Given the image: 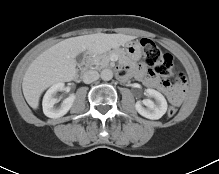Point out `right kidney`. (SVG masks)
Wrapping results in <instances>:
<instances>
[{"mask_svg":"<svg viewBox=\"0 0 219 174\" xmlns=\"http://www.w3.org/2000/svg\"><path fill=\"white\" fill-rule=\"evenodd\" d=\"M64 90V83H56L52 85L44 95L42 106L44 114L49 118H60L64 116L72 107L75 95L72 94L66 98L59 107H55L58 102L55 95L58 91Z\"/></svg>","mask_w":219,"mask_h":174,"instance_id":"ca27d5eb","label":"right kidney"}]
</instances>
